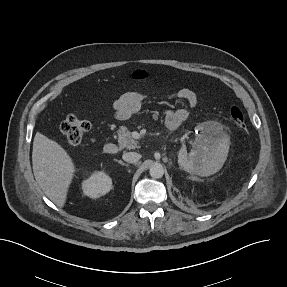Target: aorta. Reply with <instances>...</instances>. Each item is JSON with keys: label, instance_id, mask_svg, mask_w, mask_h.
I'll return each mask as SVG.
<instances>
[{"label": "aorta", "instance_id": "1", "mask_svg": "<svg viewBox=\"0 0 287 287\" xmlns=\"http://www.w3.org/2000/svg\"><path fill=\"white\" fill-rule=\"evenodd\" d=\"M149 173L152 178H161L164 174L163 166L160 164H154L150 167Z\"/></svg>", "mask_w": 287, "mask_h": 287}]
</instances>
